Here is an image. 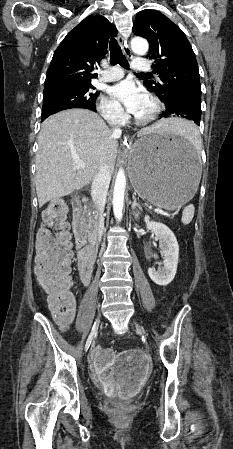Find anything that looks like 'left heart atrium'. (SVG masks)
Listing matches in <instances>:
<instances>
[{"label":"left heart atrium","mask_w":233,"mask_h":449,"mask_svg":"<svg viewBox=\"0 0 233 449\" xmlns=\"http://www.w3.org/2000/svg\"><path fill=\"white\" fill-rule=\"evenodd\" d=\"M109 93L124 106L127 112L135 116L138 115L147 99L146 93L129 80L112 86Z\"/></svg>","instance_id":"left-heart-atrium-1"}]
</instances>
